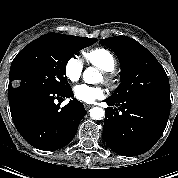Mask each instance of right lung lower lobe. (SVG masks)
<instances>
[{
    "label": "right lung lower lobe",
    "instance_id": "1",
    "mask_svg": "<svg viewBox=\"0 0 178 178\" xmlns=\"http://www.w3.org/2000/svg\"><path fill=\"white\" fill-rule=\"evenodd\" d=\"M71 87L54 91L16 88L8 91L12 120L20 135L33 147L53 151L74 138L86 110L76 100L64 107L59 102L73 97Z\"/></svg>",
    "mask_w": 178,
    "mask_h": 178
}]
</instances>
